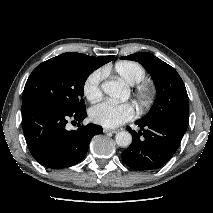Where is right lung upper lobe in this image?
Returning <instances> with one entry per match:
<instances>
[{
	"label": "right lung upper lobe",
	"mask_w": 213,
	"mask_h": 213,
	"mask_svg": "<svg viewBox=\"0 0 213 213\" xmlns=\"http://www.w3.org/2000/svg\"><path fill=\"white\" fill-rule=\"evenodd\" d=\"M72 54L90 62L91 64L94 65L96 69L108 63L109 61H112L115 58V56H100V57L87 56L85 54L75 53V52H72Z\"/></svg>",
	"instance_id": "right-lung-upper-lobe-1"
}]
</instances>
